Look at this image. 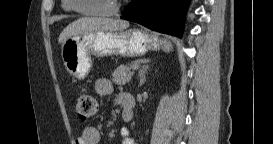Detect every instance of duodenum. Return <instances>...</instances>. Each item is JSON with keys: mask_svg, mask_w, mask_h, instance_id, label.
Masks as SVG:
<instances>
[{"mask_svg": "<svg viewBox=\"0 0 273 144\" xmlns=\"http://www.w3.org/2000/svg\"><path fill=\"white\" fill-rule=\"evenodd\" d=\"M118 102L123 109V119L130 121L133 118V108L135 106V99L130 94H120Z\"/></svg>", "mask_w": 273, "mask_h": 144, "instance_id": "1", "label": "duodenum"}]
</instances>
